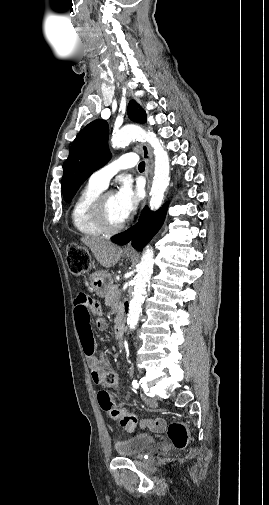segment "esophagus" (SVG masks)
<instances>
[{
	"instance_id": "1",
	"label": "esophagus",
	"mask_w": 269,
	"mask_h": 505,
	"mask_svg": "<svg viewBox=\"0 0 269 505\" xmlns=\"http://www.w3.org/2000/svg\"><path fill=\"white\" fill-rule=\"evenodd\" d=\"M138 146H139L140 152H141L144 160L146 161V173L149 174V176L151 177L153 174V168H154V160H153L152 151H151L150 147L145 143H140ZM149 184H150V181L148 183L147 190L149 189ZM123 250H124V252H127V253H134L135 252L134 248L132 247L131 242L127 243L123 247Z\"/></svg>"
}]
</instances>
